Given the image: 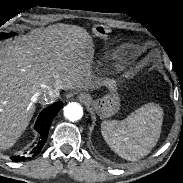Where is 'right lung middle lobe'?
Listing matches in <instances>:
<instances>
[{
  "mask_svg": "<svg viewBox=\"0 0 183 183\" xmlns=\"http://www.w3.org/2000/svg\"><path fill=\"white\" fill-rule=\"evenodd\" d=\"M13 35V33H11V34H5V33H3V34H0V37L2 36V37H10V36H12Z\"/></svg>",
  "mask_w": 183,
  "mask_h": 183,
  "instance_id": "dd1d6c3e",
  "label": "right lung middle lobe"
}]
</instances>
